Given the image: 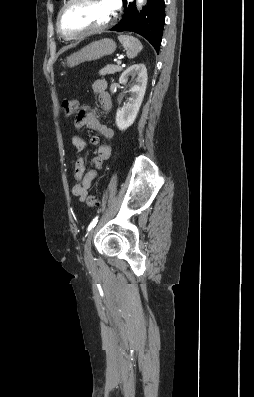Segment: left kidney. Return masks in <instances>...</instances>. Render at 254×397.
I'll use <instances>...</instances> for the list:
<instances>
[{
	"mask_svg": "<svg viewBox=\"0 0 254 397\" xmlns=\"http://www.w3.org/2000/svg\"><path fill=\"white\" fill-rule=\"evenodd\" d=\"M130 75L135 78V83L129 90L128 102L117 110L116 125L119 130H126L134 123L146 91L148 80L146 66L139 63L128 67L120 76L119 83L126 84Z\"/></svg>",
	"mask_w": 254,
	"mask_h": 397,
	"instance_id": "left-kidney-1",
	"label": "left kidney"
}]
</instances>
